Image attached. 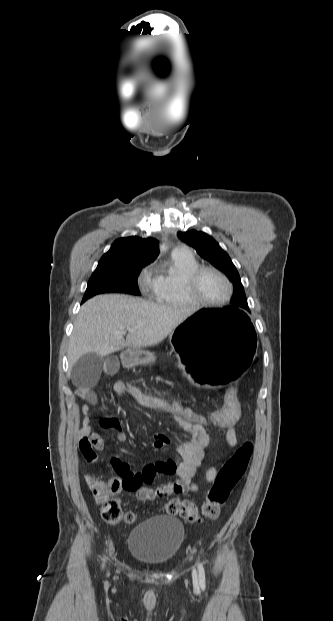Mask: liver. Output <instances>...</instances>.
I'll list each match as a JSON object with an SVG mask.
<instances>
[{"instance_id":"1","label":"liver","mask_w":333,"mask_h":621,"mask_svg":"<svg viewBox=\"0 0 333 621\" xmlns=\"http://www.w3.org/2000/svg\"><path fill=\"white\" fill-rule=\"evenodd\" d=\"M192 312L122 294L99 295L81 306L68 346L69 370L89 353L108 356L125 347L140 349L164 340ZM130 329L126 336L123 331Z\"/></svg>"}]
</instances>
